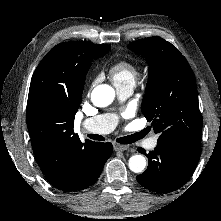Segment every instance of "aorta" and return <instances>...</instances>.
Masks as SVG:
<instances>
[{
    "mask_svg": "<svg viewBox=\"0 0 221 221\" xmlns=\"http://www.w3.org/2000/svg\"><path fill=\"white\" fill-rule=\"evenodd\" d=\"M115 98L114 89L106 84L98 85L91 94V100L97 107H106L110 105ZM129 168L135 173H140L145 169L146 159L140 154H136L129 159Z\"/></svg>",
    "mask_w": 221,
    "mask_h": 221,
    "instance_id": "obj_1",
    "label": "aorta"
}]
</instances>
